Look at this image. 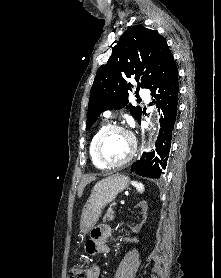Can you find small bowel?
<instances>
[{"label": "small bowel", "instance_id": "1", "mask_svg": "<svg viewBox=\"0 0 221 278\" xmlns=\"http://www.w3.org/2000/svg\"><path fill=\"white\" fill-rule=\"evenodd\" d=\"M113 229L108 225H100L93 229L90 238L86 242V250L90 254L109 253L110 249L107 242L112 238ZM127 241L133 242L134 239L127 238ZM88 278H98L99 268L95 265L87 269Z\"/></svg>", "mask_w": 221, "mask_h": 278}]
</instances>
